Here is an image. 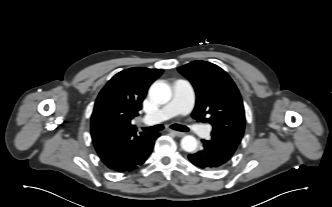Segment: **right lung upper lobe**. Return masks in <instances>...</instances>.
<instances>
[{"instance_id":"obj_1","label":"right lung upper lobe","mask_w":332,"mask_h":207,"mask_svg":"<svg viewBox=\"0 0 332 207\" xmlns=\"http://www.w3.org/2000/svg\"><path fill=\"white\" fill-rule=\"evenodd\" d=\"M162 69L129 68L113 76L99 93L91 117V136L104 164L131 158L150 133L137 134L131 120L138 115L149 86Z\"/></svg>"}]
</instances>
